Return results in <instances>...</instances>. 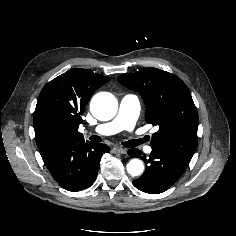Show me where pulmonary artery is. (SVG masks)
I'll use <instances>...</instances> for the list:
<instances>
[{"instance_id": "e3ab8cb5", "label": "pulmonary artery", "mask_w": 236, "mask_h": 236, "mask_svg": "<svg viewBox=\"0 0 236 236\" xmlns=\"http://www.w3.org/2000/svg\"><path fill=\"white\" fill-rule=\"evenodd\" d=\"M139 113L140 101L138 96L127 94L120 101L116 117L110 122L97 125L94 132L101 135H112L122 130L131 131L135 127ZM145 151L151 153L152 148L147 146Z\"/></svg>"}]
</instances>
